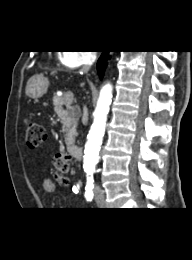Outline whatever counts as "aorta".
Wrapping results in <instances>:
<instances>
[{
    "instance_id": "1",
    "label": "aorta",
    "mask_w": 192,
    "mask_h": 260,
    "mask_svg": "<svg viewBox=\"0 0 192 260\" xmlns=\"http://www.w3.org/2000/svg\"><path fill=\"white\" fill-rule=\"evenodd\" d=\"M113 87L110 83L105 84L99 94L97 106L94 111V119L85 144L83 168L87 174L88 182H92L95 167L99 161V152L105 133V126L109 107L112 101Z\"/></svg>"
}]
</instances>
